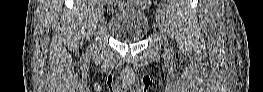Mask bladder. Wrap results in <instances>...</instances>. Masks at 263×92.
<instances>
[{
	"label": "bladder",
	"instance_id": "31cf9c89",
	"mask_svg": "<svg viewBox=\"0 0 263 92\" xmlns=\"http://www.w3.org/2000/svg\"><path fill=\"white\" fill-rule=\"evenodd\" d=\"M107 29L118 41L135 42L146 35L148 25L143 10L139 7H130L111 15Z\"/></svg>",
	"mask_w": 263,
	"mask_h": 92
}]
</instances>
